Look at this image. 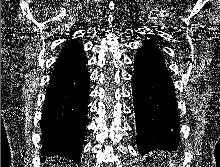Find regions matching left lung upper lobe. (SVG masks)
I'll use <instances>...</instances> for the list:
<instances>
[{"label":"left lung upper lobe","instance_id":"left-lung-upper-lobe-1","mask_svg":"<svg viewBox=\"0 0 220 167\" xmlns=\"http://www.w3.org/2000/svg\"><path fill=\"white\" fill-rule=\"evenodd\" d=\"M148 36L150 38L145 40L143 48L159 49V46L156 43L155 36L152 35H148Z\"/></svg>","mask_w":220,"mask_h":167}]
</instances>
